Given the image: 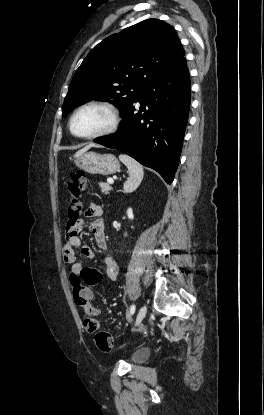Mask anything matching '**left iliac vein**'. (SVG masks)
<instances>
[{
    "mask_svg": "<svg viewBox=\"0 0 264 415\" xmlns=\"http://www.w3.org/2000/svg\"><path fill=\"white\" fill-rule=\"evenodd\" d=\"M146 313H147V306L143 305L138 311V314L135 319L134 327H137L142 322V320L146 316Z\"/></svg>",
    "mask_w": 264,
    "mask_h": 415,
    "instance_id": "left-iliac-vein-1",
    "label": "left iliac vein"
}]
</instances>
